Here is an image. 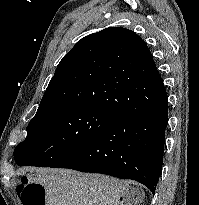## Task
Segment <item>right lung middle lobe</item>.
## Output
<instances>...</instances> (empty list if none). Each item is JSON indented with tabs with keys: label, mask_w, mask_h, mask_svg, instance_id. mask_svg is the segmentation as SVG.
<instances>
[{
	"label": "right lung middle lobe",
	"mask_w": 199,
	"mask_h": 205,
	"mask_svg": "<svg viewBox=\"0 0 199 205\" xmlns=\"http://www.w3.org/2000/svg\"><path fill=\"white\" fill-rule=\"evenodd\" d=\"M117 115L94 106L75 105L37 111L14 159L19 166L50 167L92 141Z\"/></svg>",
	"instance_id": "obj_1"
}]
</instances>
